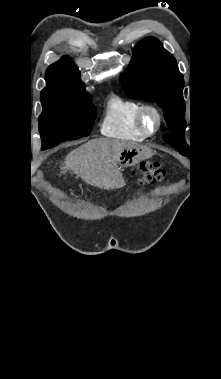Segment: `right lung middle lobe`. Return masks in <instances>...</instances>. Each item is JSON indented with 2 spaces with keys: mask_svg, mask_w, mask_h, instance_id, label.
I'll return each mask as SVG.
<instances>
[{
  "mask_svg": "<svg viewBox=\"0 0 221 379\" xmlns=\"http://www.w3.org/2000/svg\"><path fill=\"white\" fill-rule=\"evenodd\" d=\"M43 112L39 117L42 149L88 136L96 118V108L87 93L78 98L41 99Z\"/></svg>",
  "mask_w": 221,
  "mask_h": 379,
  "instance_id": "dd1d6c3e",
  "label": "right lung middle lobe"
}]
</instances>
